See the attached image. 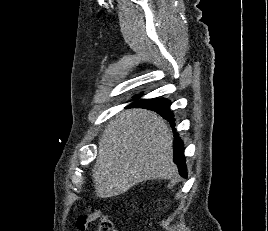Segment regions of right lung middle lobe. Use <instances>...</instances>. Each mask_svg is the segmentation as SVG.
Here are the masks:
<instances>
[{
  "instance_id": "dd1d6c3e",
  "label": "right lung middle lobe",
  "mask_w": 268,
  "mask_h": 231,
  "mask_svg": "<svg viewBox=\"0 0 268 231\" xmlns=\"http://www.w3.org/2000/svg\"><path fill=\"white\" fill-rule=\"evenodd\" d=\"M149 100H153V101H157V102H163V103H166V104L170 105V102L168 100H166V99L155 98V99H149Z\"/></svg>"
}]
</instances>
